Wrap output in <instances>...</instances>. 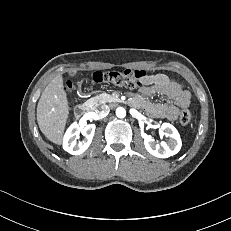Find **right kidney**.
I'll return each instance as SVG.
<instances>
[{"label":"right kidney","mask_w":231,"mask_h":231,"mask_svg":"<svg viewBox=\"0 0 231 231\" xmlns=\"http://www.w3.org/2000/svg\"><path fill=\"white\" fill-rule=\"evenodd\" d=\"M95 128L94 124L79 126L76 122L73 123L65 133L63 140L64 150L72 155H80L85 152L92 142ZM80 132L85 138L77 143L76 139L79 138Z\"/></svg>","instance_id":"obj_1"}]
</instances>
